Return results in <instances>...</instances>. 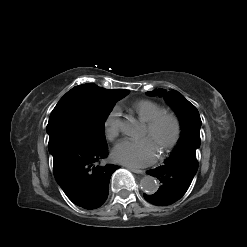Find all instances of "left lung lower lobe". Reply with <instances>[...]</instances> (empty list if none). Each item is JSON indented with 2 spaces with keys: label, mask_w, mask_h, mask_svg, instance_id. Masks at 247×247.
<instances>
[{
  "label": "left lung lower lobe",
  "mask_w": 247,
  "mask_h": 247,
  "mask_svg": "<svg viewBox=\"0 0 247 247\" xmlns=\"http://www.w3.org/2000/svg\"><path fill=\"white\" fill-rule=\"evenodd\" d=\"M197 169L195 148L175 149L164 165L147 171L149 175L158 178L161 186L155 194H144L145 200L158 206L173 204L186 193Z\"/></svg>",
  "instance_id": "1"
}]
</instances>
